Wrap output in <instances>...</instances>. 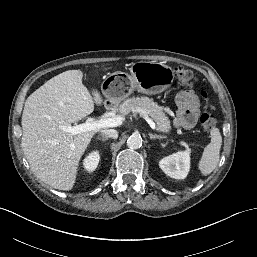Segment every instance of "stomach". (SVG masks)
I'll return each instance as SVG.
<instances>
[{
	"label": "stomach",
	"mask_w": 257,
	"mask_h": 257,
	"mask_svg": "<svg viewBox=\"0 0 257 257\" xmlns=\"http://www.w3.org/2000/svg\"><path fill=\"white\" fill-rule=\"evenodd\" d=\"M129 70L130 74H114L103 82L101 90L106 97V106H117L135 89L147 95L161 93L174 80L172 67L162 62L139 61L132 63Z\"/></svg>",
	"instance_id": "obj_1"
}]
</instances>
